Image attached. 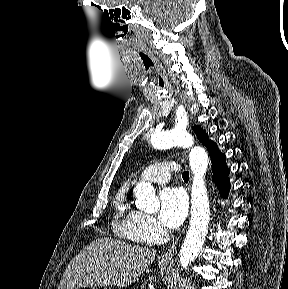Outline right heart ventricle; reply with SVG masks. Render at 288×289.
<instances>
[{"label": "right heart ventricle", "mask_w": 288, "mask_h": 289, "mask_svg": "<svg viewBox=\"0 0 288 289\" xmlns=\"http://www.w3.org/2000/svg\"><path fill=\"white\" fill-rule=\"evenodd\" d=\"M114 231L122 238L135 243L145 242L139 235L136 224L141 212L135 209L129 199L128 191L122 188L114 199Z\"/></svg>", "instance_id": "e07e8e85"}]
</instances>
